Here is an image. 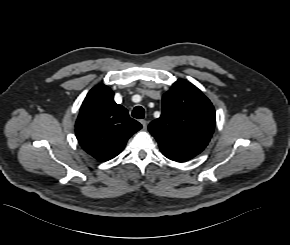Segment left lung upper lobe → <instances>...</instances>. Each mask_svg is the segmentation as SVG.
I'll use <instances>...</instances> for the list:
<instances>
[{"label": "left lung upper lobe", "mask_w": 290, "mask_h": 245, "mask_svg": "<svg viewBox=\"0 0 290 245\" xmlns=\"http://www.w3.org/2000/svg\"><path fill=\"white\" fill-rule=\"evenodd\" d=\"M162 110L148 127L162 153L185 162L202 152L215 128V110L209 99L190 82L179 80L164 94Z\"/></svg>", "instance_id": "1"}]
</instances>
